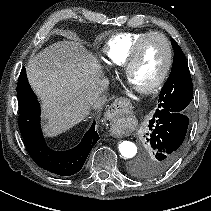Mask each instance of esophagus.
<instances>
[{"label":"esophagus","mask_w":211,"mask_h":211,"mask_svg":"<svg viewBox=\"0 0 211 211\" xmlns=\"http://www.w3.org/2000/svg\"><path fill=\"white\" fill-rule=\"evenodd\" d=\"M125 104V101H123V100H117V101H115L113 104H112V108L114 107V108H117L118 106L119 107H121V106H123Z\"/></svg>","instance_id":"34e87169"}]
</instances>
